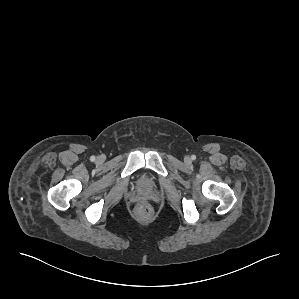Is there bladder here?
<instances>
[{
	"instance_id": "1",
	"label": "bladder",
	"mask_w": 299,
	"mask_h": 299,
	"mask_svg": "<svg viewBox=\"0 0 299 299\" xmlns=\"http://www.w3.org/2000/svg\"><path fill=\"white\" fill-rule=\"evenodd\" d=\"M154 186H155V180L147 174H142L137 179V188L139 190L148 191L153 189Z\"/></svg>"
}]
</instances>
